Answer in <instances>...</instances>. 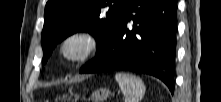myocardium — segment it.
I'll return each mask as SVG.
<instances>
[{
    "instance_id": "obj_1",
    "label": "myocardium",
    "mask_w": 221,
    "mask_h": 102,
    "mask_svg": "<svg viewBox=\"0 0 221 102\" xmlns=\"http://www.w3.org/2000/svg\"><path fill=\"white\" fill-rule=\"evenodd\" d=\"M78 46V52L74 55L68 53L71 45ZM99 36L90 29L80 28L70 32L61 44V55L65 61L71 64H81L90 59L100 48Z\"/></svg>"
}]
</instances>
